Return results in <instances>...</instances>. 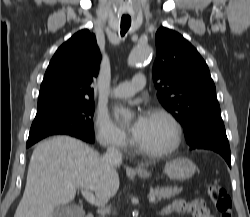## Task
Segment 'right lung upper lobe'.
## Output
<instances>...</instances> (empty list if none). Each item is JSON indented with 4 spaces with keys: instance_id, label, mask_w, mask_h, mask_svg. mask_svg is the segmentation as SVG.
I'll return each instance as SVG.
<instances>
[{
    "instance_id": "cb5924a9",
    "label": "right lung upper lobe",
    "mask_w": 250,
    "mask_h": 217,
    "mask_svg": "<svg viewBox=\"0 0 250 217\" xmlns=\"http://www.w3.org/2000/svg\"><path fill=\"white\" fill-rule=\"evenodd\" d=\"M101 61L96 37L87 29L61 45L44 75L37 111L78 101H93L91 84Z\"/></svg>"
}]
</instances>
